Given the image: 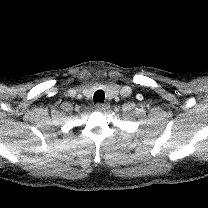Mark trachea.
<instances>
[{"label": "trachea", "instance_id": "trachea-1", "mask_svg": "<svg viewBox=\"0 0 208 208\" xmlns=\"http://www.w3.org/2000/svg\"><path fill=\"white\" fill-rule=\"evenodd\" d=\"M104 99H105V93H104L103 90H97L94 93V97H93L94 104L103 103L104 102Z\"/></svg>", "mask_w": 208, "mask_h": 208}]
</instances>
